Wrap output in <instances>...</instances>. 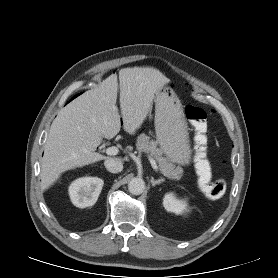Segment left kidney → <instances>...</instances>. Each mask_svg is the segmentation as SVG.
<instances>
[{
    "label": "left kidney",
    "mask_w": 278,
    "mask_h": 278,
    "mask_svg": "<svg viewBox=\"0 0 278 278\" xmlns=\"http://www.w3.org/2000/svg\"><path fill=\"white\" fill-rule=\"evenodd\" d=\"M163 206L168 212H173L176 215H187L190 211L187 203L183 200H179L173 193L165 194L163 198Z\"/></svg>",
    "instance_id": "obj_1"
}]
</instances>
